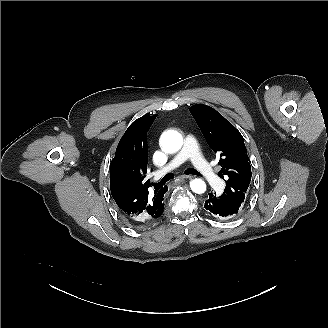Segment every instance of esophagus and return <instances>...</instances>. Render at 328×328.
I'll return each mask as SVG.
<instances>
[{
	"label": "esophagus",
	"instance_id": "obj_1",
	"mask_svg": "<svg viewBox=\"0 0 328 328\" xmlns=\"http://www.w3.org/2000/svg\"><path fill=\"white\" fill-rule=\"evenodd\" d=\"M178 178H180V179H190V178H192V176L191 175H181Z\"/></svg>",
	"mask_w": 328,
	"mask_h": 328
}]
</instances>
